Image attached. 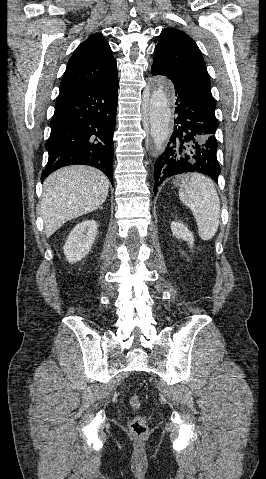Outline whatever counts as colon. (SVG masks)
<instances>
[{"label":"colon","instance_id":"obj_1","mask_svg":"<svg viewBox=\"0 0 266 479\" xmlns=\"http://www.w3.org/2000/svg\"><path fill=\"white\" fill-rule=\"evenodd\" d=\"M129 405L133 410H140L142 401L139 396L133 395L129 399ZM130 432L137 438L141 439L148 433L147 418L144 415H137L130 423Z\"/></svg>","mask_w":266,"mask_h":479}]
</instances>
